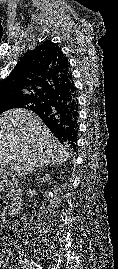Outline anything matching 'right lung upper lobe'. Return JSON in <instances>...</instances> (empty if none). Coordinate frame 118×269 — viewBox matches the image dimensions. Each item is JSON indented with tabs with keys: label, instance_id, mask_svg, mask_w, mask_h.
Wrapping results in <instances>:
<instances>
[{
	"label": "right lung upper lobe",
	"instance_id": "cb5924a9",
	"mask_svg": "<svg viewBox=\"0 0 118 269\" xmlns=\"http://www.w3.org/2000/svg\"><path fill=\"white\" fill-rule=\"evenodd\" d=\"M70 64L56 43L44 41L26 52L7 78L0 83V101L32 98L37 112L40 107L67 89L72 83ZM36 114L55 134L51 120L43 113Z\"/></svg>",
	"mask_w": 118,
	"mask_h": 269
}]
</instances>
